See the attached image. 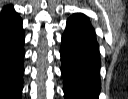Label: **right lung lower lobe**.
Masks as SVG:
<instances>
[{
	"mask_svg": "<svg viewBox=\"0 0 128 99\" xmlns=\"http://www.w3.org/2000/svg\"><path fill=\"white\" fill-rule=\"evenodd\" d=\"M25 35L12 6L0 15V99H21Z\"/></svg>",
	"mask_w": 128,
	"mask_h": 99,
	"instance_id": "obj_1",
	"label": "right lung lower lobe"
}]
</instances>
